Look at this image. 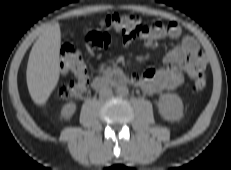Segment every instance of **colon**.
I'll use <instances>...</instances> for the list:
<instances>
[{
  "label": "colon",
  "mask_w": 231,
  "mask_h": 170,
  "mask_svg": "<svg viewBox=\"0 0 231 170\" xmlns=\"http://www.w3.org/2000/svg\"><path fill=\"white\" fill-rule=\"evenodd\" d=\"M100 26L121 35L136 37L141 34L145 26L140 17L134 14L115 12L104 17ZM60 67L64 74L73 76V80L60 87L55 96L62 100H80L88 95L89 79L86 62L81 52L72 45H64L61 49ZM207 80L204 73L195 76L190 89L193 94L205 91Z\"/></svg>",
  "instance_id": "obj_1"
}]
</instances>
